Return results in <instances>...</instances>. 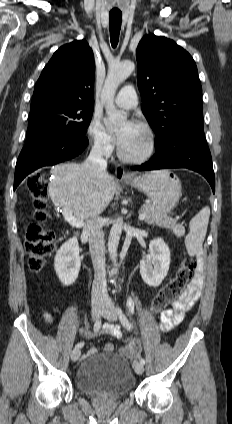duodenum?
<instances>
[{
    "instance_id": "410a0bca",
    "label": "duodenum",
    "mask_w": 232,
    "mask_h": 424,
    "mask_svg": "<svg viewBox=\"0 0 232 424\" xmlns=\"http://www.w3.org/2000/svg\"><path fill=\"white\" fill-rule=\"evenodd\" d=\"M75 235H76V236H79V234H78V233H75Z\"/></svg>"
}]
</instances>
